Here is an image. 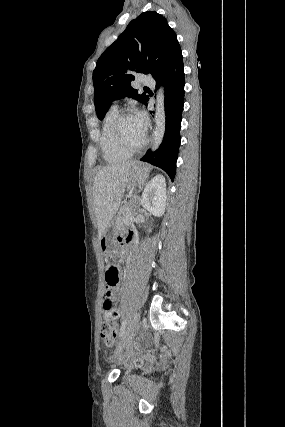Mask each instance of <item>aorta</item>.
I'll list each match as a JSON object with an SVG mask.
<instances>
[{"mask_svg":"<svg viewBox=\"0 0 285 427\" xmlns=\"http://www.w3.org/2000/svg\"><path fill=\"white\" fill-rule=\"evenodd\" d=\"M165 107H164V90L161 87L157 92L156 98V111H155V129L153 132V145L152 150L158 149L162 143L165 134Z\"/></svg>","mask_w":285,"mask_h":427,"instance_id":"obj_1","label":"aorta"}]
</instances>
